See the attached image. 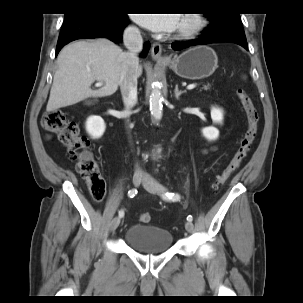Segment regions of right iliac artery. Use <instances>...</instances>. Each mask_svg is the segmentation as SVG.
I'll use <instances>...</instances> for the list:
<instances>
[{"instance_id":"obj_1","label":"right iliac artery","mask_w":303,"mask_h":303,"mask_svg":"<svg viewBox=\"0 0 303 303\" xmlns=\"http://www.w3.org/2000/svg\"><path fill=\"white\" fill-rule=\"evenodd\" d=\"M136 194H137V190L136 189H131L128 192V197L133 198ZM123 216H124V211L120 210L119 211V217L122 218Z\"/></svg>"}]
</instances>
